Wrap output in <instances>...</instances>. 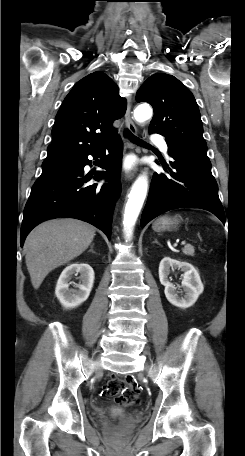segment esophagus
Here are the masks:
<instances>
[{"instance_id": "esophagus-1", "label": "esophagus", "mask_w": 245, "mask_h": 456, "mask_svg": "<svg viewBox=\"0 0 245 456\" xmlns=\"http://www.w3.org/2000/svg\"><path fill=\"white\" fill-rule=\"evenodd\" d=\"M125 123H126L127 129L130 131V133L131 134H135L137 129H136V126L134 124L133 117H132L131 100H129V103H128V106H127V110H126V113H125ZM127 147L130 150H135V152H138V148H136L134 146V144L130 141V137L127 138ZM136 173H137V168L136 167L132 168L129 171H126L125 172V179L128 180V181L132 180L135 177Z\"/></svg>"}]
</instances>
